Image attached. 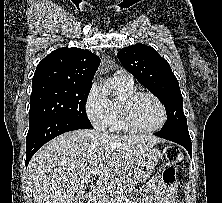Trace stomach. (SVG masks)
Segmentation results:
<instances>
[{"instance_id":"stomach-1","label":"stomach","mask_w":222,"mask_h":203,"mask_svg":"<svg viewBox=\"0 0 222 203\" xmlns=\"http://www.w3.org/2000/svg\"><path fill=\"white\" fill-rule=\"evenodd\" d=\"M159 158L160 151L158 149L152 148L147 151L142 162L134 168L130 185L139 184L150 177Z\"/></svg>"}]
</instances>
